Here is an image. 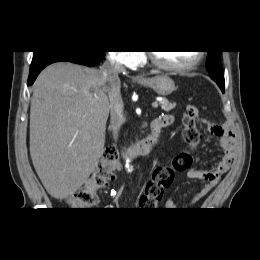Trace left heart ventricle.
I'll use <instances>...</instances> for the list:
<instances>
[{
  "mask_svg": "<svg viewBox=\"0 0 260 260\" xmlns=\"http://www.w3.org/2000/svg\"><path fill=\"white\" fill-rule=\"evenodd\" d=\"M155 53L163 62L171 65L188 64L197 56L196 51H159Z\"/></svg>",
  "mask_w": 260,
  "mask_h": 260,
  "instance_id": "b2bd125f",
  "label": "left heart ventricle"
}]
</instances>
